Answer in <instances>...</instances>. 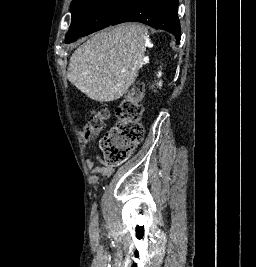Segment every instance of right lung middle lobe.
<instances>
[{
  "mask_svg": "<svg viewBox=\"0 0 256 267\" xmlns=\"http://www.w3.org/2000/svg\"><path fill=\"white\" fill-rule=\"evenodd\" d=\"M138 0H73L72 19L66 43L76 41L111 25L127 12Z\"/></svg>",
  "mask_w": 256,
  "mask_h": 267,
  "instance_id": "dd1d6c3e",
  "label": "right lung middle lobe"
}]
</instances>
